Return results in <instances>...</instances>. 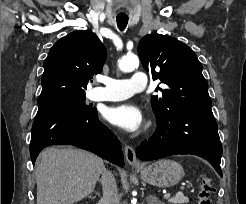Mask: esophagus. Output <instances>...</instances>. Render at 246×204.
Returning a JSON list of instances; mask_svg holds the SVG:
<instances>
[{"label": "esophagus", "instance_id": "34e87169", "mask_svg": "<svg viewBox=\"0 0 246 204\" xmlns=\"http://www.w3.org/2000/svg\"><path fill=\"white\" fill-rule=\"evenodd\" d=\"M126 161L132 167H140V163L136 158L135 150L132 146L126 145L124 148Z\"/></svg>", "mask_w": 246, "mask_h": 204}]
</instances>
